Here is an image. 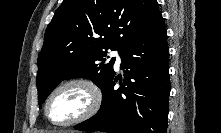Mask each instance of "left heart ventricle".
I'll use <instances>...</instances> for the list:
<instances>
[{
	"instance_id": "obj_1",
	"label": "left heart ventricle",
	"mask_w": 221,
	"mask_h": 133,
	"mask_svg": "<svg viewBox=\"0 0 221 133\" xmlns=\"http://www.w3.org/2000/svg\"><path fill=\"white\" fill-rule=\"evenodd\" d=\"M88 104V96L80 87H68L58 92L50 102L48 114L55 122H64L81 113Z\"/></svg>"
}]
</instances>
